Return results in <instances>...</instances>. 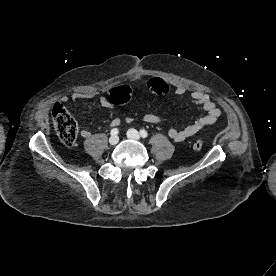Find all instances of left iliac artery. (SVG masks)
<instances>
[{"mask_svg":"<svg viewBox=\"0 0 276 276\" xmlns=\"http://www.w3.org/2000/svg\"><path fill=\"white\" fill-rule=\"evenodd\" d=\"M140 135H141V137L146 138L148 136V133L146 130L142 129V130H140Z\"/></svg>","mask_w":276,"mask_h":276,"instance_id":"obj_1","label":"left iliac artery"}]
</instances>
